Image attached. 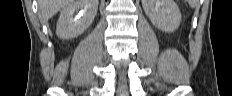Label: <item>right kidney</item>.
I'll use <instances>...</instances> for the list:
<instances>
[{
	"mask_svg": "<svg viewBox=\"0 0 232 96\" xmlns=\"http://www.w3.org/2000/svg\"><path fill=\"white\" fill-rule=\"evenodd\" d=\"M97 8L98 0H71L60 13L57 36L61 39H72L81 35L92 24Z\"/></svg>",
	"mask_w": 232,
	"mask_h": 96,
	"instance_id": "1",
	"label": "right kidney"
}]
</instances>
